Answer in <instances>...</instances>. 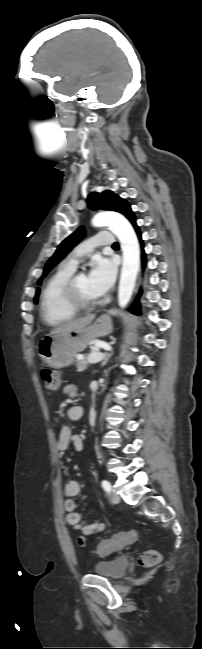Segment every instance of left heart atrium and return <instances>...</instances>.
I'll list each match as a JSON object with an SVG mask.
<instances>
[{
	"instance_id": "39dd6f15",
	"label": "left heart atrium",
	"mask_w": 202,
	"mask_h": 649,
	"mask_svg": "<svg viewBox=\"0 0 202 649\" xmlns=\"http://www.w3.org/2000/svg\"><path fill=\"white\" fill-rule=\"evenodd\" d=\"M116 265L108 258L97 257L91 263L87 275L89 285L98 296L105 294L114 284L116 278Z\"/></svg>"
}]
</instances>
